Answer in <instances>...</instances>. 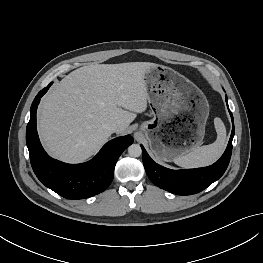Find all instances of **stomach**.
<instances>
[{"label":"stomach","instance_id":"obj_1","mask_svg":"<svg viewBox=\"0 0 263 263\" xmlns=\"http://www.w3.org/2000/svg\"><path fill=\"white\" fill-rule=\"evenodd\" d=\"M153 118L141 125L153 155L162 161L195 150L203 141L209 104L203 92L174 69L155 64L144 76Z\"/></svg>","mask_w":263,"mask_h":263}]
</instances>
